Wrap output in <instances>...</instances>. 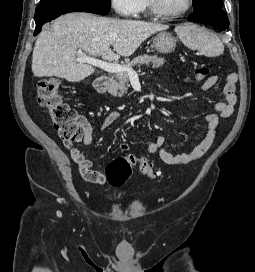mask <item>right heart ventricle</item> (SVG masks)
Wrapping results in <instances>:
<instances>
[{
    "label": "right heart ventricle",
    "instance_id": "e07e8e85",
    "mask_svg": "<svg viewBox=\"0 0 255 272\" xmlns=\"http://www.w3.org/2000/svg\"><path fill=\"white\" fill-rule=\"evenodd\" d=\"M139 12H143V13L148 12L147 0H140Z\"/></svg>",
    "mask_w": 255,
    "mask_h": 272
}]
</instances>
